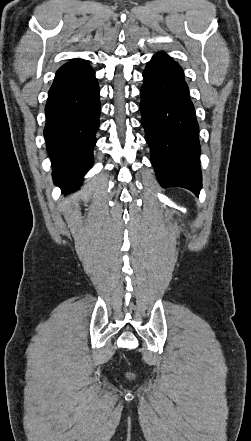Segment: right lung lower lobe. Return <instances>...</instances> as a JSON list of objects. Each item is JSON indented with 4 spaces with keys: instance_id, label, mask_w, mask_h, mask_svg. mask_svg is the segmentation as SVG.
Instances as JSON below:
<instances>
[{
    "instance_id": "right-lung-lower-lobe-1",
    "label": "right lung lower lobe",
    "mask_w": 251,
    "mask_h": 441,
    "mask_svg": "<svg viewBox=\"0 0 251 441\" xmlns=\"http://www.w3.org/2000/svg\"><path fill=\"white\" fill-rule=\"evenodd\" d=\"M100 89L90 65L59 69L48 93L44 137L54 182L69 192L93 164Z\"/></svg>"
}]
</instances>
